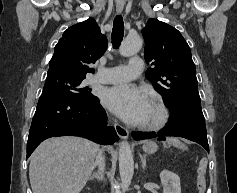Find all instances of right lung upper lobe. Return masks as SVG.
Returning <instances> with one entry per match:
<instances>
[{
	"label": "right lung upper lobe",
	"instance_id": "cb5924a9",
	"mask_svg": "<svg viewBox=\"0 0 237 193\" xmlns=\"http://www.w3.org/2000/svg\"><path fill=\"white\" fill-rule=\"evenodd\" d=\"M107 48V38L93 18L69 27L55 46L49 70L85 78L93 73L88 64L95 63Z\"/></svg>",
	"mask_w": 237,
	"mask_h": 193
}]
</instances>
